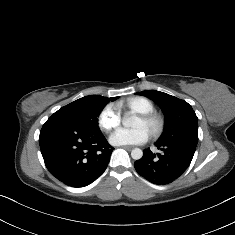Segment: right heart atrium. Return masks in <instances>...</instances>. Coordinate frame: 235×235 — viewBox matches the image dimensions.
I'll use <instances>...</instances> for the list:
<instances>
[{
  "mask_svg": "<svg viewBox=\"0 0 235 235\" xmlns=\"http://www.w3.org/2000/svg\"><path fill=\"white\" fill-rule=\"evenodd\" d=\"M121 123V115L113 103L106 104L97 116V125L103 132H110Z\"/></svg>",
  "mask_w": 235,
  "mask_h": 235,
  "instance_id": "right-heart-atrium-1",
  "label": "right heart atrium"
}]
</instances>
